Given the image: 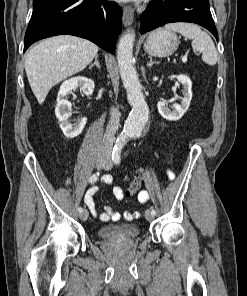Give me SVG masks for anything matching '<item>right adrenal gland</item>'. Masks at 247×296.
I'll list each match as a JSON object with an SVG mask.
<instances>
[{
    "label": "right adrenal gland",
    "mask_w": 247,
    "mask_h": 296,
    "mask_svg": "<svg viewBox=\"0 0 247 296\" xmlns=\"http://www.w3.org/2000/svg\"><path fill=\"white\" fill-rule=\"evenodd\" d=\"M94 66L98 67L99 69L101 68L100 63L98 61V55L95 56V61L94 63L90 64L89 69H92Z\"/></svg>",
    "instance_id": "2a0ac1e0"
}]
</instances>
